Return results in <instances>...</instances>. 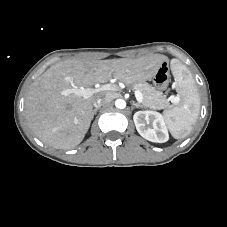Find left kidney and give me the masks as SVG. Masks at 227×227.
Here are the masks:
<instances>
[{
	"instance_id": "5707ae66",
	"label": "left kidney",
	"mask_w": 227,
	"mask_h": 227,
	"mask_svg": "<svg viewBox=\"0 0 227 227\" xmlns=\"http://www.w3.org/2000/svg\"><path fill=\"white\" fill-rule=\"evenodd\" d=\"M133 120L138 133L151 142L164 143L168 141L167 126L162 114L156 111H137ZM152 124V127L146 126Z\"/></svg>"
}]
</instances>
